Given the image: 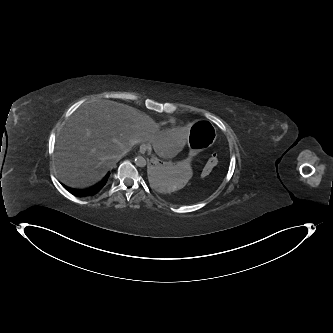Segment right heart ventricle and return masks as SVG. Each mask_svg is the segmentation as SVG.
Wrapping results in <instances>:
<instances>
[{
    "mask_svg": "<svg viewBox=\"0 0 333 333\" xmlns=\"http://www.w3.org/2000/svg\"><path fill=\"white\" fill-rule=\"evenodd\" d=\"M166 123H168L167 121H162L159 123L160 126H164ZM170 123L171 124H175V121L174 120H170Z\"/></svg>",
    "mask_w": 333,
    "mask_h": 333,
    "instance_id": "1",
    "label": "right heart ventricle"
}]
</instances>
